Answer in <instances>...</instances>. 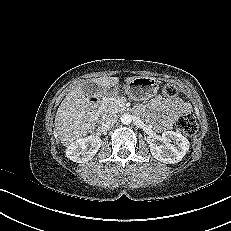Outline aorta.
<instances>
[{"instance_id":"1","label":"aorta","mask_w":231,"mask_h":231,"mask_svg":"<svg viewBox=\"0 0 231 231\" xmlns=\"http://www.w3.org/2000/svg\"><path fill=\"white\" fill-rule=\"evenodd\" d=\"M121 122L125 125H128L132 122V118L129 114H123L121 116Z\"/></svg>"}]
</instances>
